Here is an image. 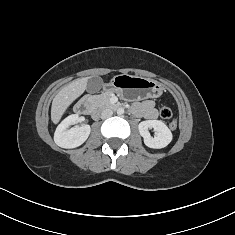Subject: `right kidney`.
Masks as SVG:
<instances>
[{
    "instance_id": "ca27d5eb",
    "label": "right kidney",
    "mask_w": 235,
    "mask_h": 235,
    "mask_svg": "<svg viewBox=\"0 0 235 235\" xmlns=\"http://www.w3.org/2000/svg\"><path fill=\"white\" fill-rule=\"evenodd\" d=\"M79 120L78 114H72L58 125L54 134V141L59 147L76 148L87 140L91 132L89 125L69 128L71 125L78 123Z\"/></svg>"
}]
</instances>
